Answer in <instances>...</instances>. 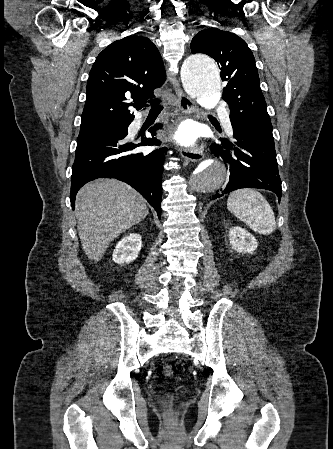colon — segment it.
Here are the masks:
<instances>
[{
	"instance_id": "colon-1",
	"label": "colon",
	"mask_w": 333,
	"mask_h": 449,
	"mask_svg": "<svg viewBox=\"0 0 333 449\" xmlns=\"http://www.w3.org/2000/svg\"><path fill=\"white\" fill-rule=\"evenodd\" d=\"M162 373L166 377H171L174 374V368L171 365H165L162 368Z\"/></svg>"
}]
</instances>
